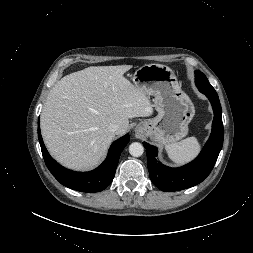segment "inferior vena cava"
Segmentation results:
<instances>
[{"label":"inferior vena cava","instance_id":"obj_1","mask_svg":"<svg viewBox=\"0 0 253 253\" xmlns=\"http://www.w3.org/2000/svg\"><path fill=\"white\" fill-rule=\"evenodd\" d=\"M108 129H109V131L112 132V133H117L118 130H119V125H118V124H110V125L108 126Z\"/></svg>","mask_w":253,"mask_h":253}]
</instances>
